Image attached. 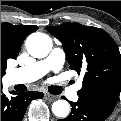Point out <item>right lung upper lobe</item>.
Here are the masks:
<instances>
[{"label": "right lung upper lobe", "mask_w": 121, "mask_h": 121, "mask_svg": "<svg viewBox=\"0 0 121 121\" xmlns=\"http://www.w3.org/2000/svg\"><path fill=\"white\" fill-rule=\"evenodd\" d=\"M37 29L38 27L34 25L1 23V78L5 74L4 67L6 68L7 60L18 56L25 37Z\"/></svg>", "instance_id": "obj_1"}]
</instances>
